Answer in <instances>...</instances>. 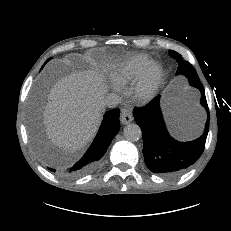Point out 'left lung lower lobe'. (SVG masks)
Here are the masks:
<instances>
[{"mask_svg": "<svg viewBox=\"0 0 231 231\" xmlns=\"http://www.w3.org/2000/svg\"><path fill=\"white\" fill-rule=\"evenodd\" d=\"M201 92V105L207 111L203 134L192 142H179L166 130L160 106V96L147 106L134 109L133 116L143 134V155L147 167L163 176H177L189 169L202 155L209 131V109L205 91L200 81L190 82Z\"/></svg>", "mask_w": 231, "mask_h": 231, "instance_id": "1", "label": "left lung lower lobe"}]
</instances>
